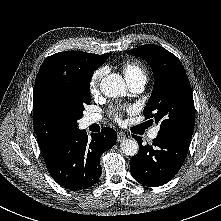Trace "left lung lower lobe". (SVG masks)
Segmentation results:
<instances>
[{
  "label": "left lung lower lobe",
  "mask_w": 221,
  "mask_h": 221,
  "mask_svg": "<svg viewBox=\"0 0 221 221\" xmlns=\"http://www.w3.org/2000/svg\"><path fill=\"white\" fill-rule=\"evenodd\" d=\"M139 144L138 153L130 161L132 176L148 187L168 183L180 170L189 144L158 135L152 145H142L139 136H132Z\"/></svg>",
  "instance_id": "obj_1"
}]
</instances>
